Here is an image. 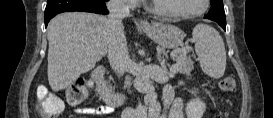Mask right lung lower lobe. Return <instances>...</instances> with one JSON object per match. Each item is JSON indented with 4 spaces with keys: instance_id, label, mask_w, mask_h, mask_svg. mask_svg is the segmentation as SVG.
Here are the masks:
<instances>
[{
    "instance_id": "98d812e1",
    "label": "right lung lower lobe",
    "mask_w": 273,
    "mask_h": 118,
    "mask_svg": "<svg viewBox=\"0 0 273 118\" xmlns=\"http://www.w3.org/2000/svg\"><path fill=\"white\" fill-rule=\"evenodd\" d=\"M105 0H48L44 13L45 27L50 19L63 12L81 11L108 14Z\"/></svg>"
}]
</instances>
